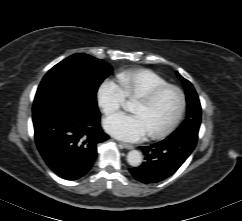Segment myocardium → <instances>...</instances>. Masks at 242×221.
<instances>
[{"instance_id": "obj_1", "label": "myocardium", "mask_w": 242, "mask_h": 221, "mask_svg": "<svg viewBox=\"0 0 242 221\" xmlns=\"http://www.w3.org/2000/svg\"><path fill=\"white\" fill-rule=\"evenodd\" d=\"M167 91H174L179 98V107L177 110L176 115L174 118L171 120V122L166 125L164 128L149 132L148 135L150 138L157 139V138H162L170 134L171 132L174 131V129L178 126V124L181 122L185 111H186V105H187V100H186V95L184 91L173 84H165L160 87L155 88L154 90L150 91L149 93L139 97L137 101H141L145 104H152L154 103L161 95H163Z\"/></svg>"}]
</instances>
